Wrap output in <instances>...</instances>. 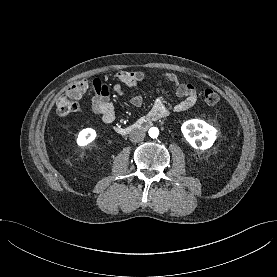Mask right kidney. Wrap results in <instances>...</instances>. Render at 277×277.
Returning a JSON list of instances; mask_svg holds the SVG:
<instances>
[{
	"instance_id": "right-kidney-1",
	"label": "right kidney",
	"mask_w": 277,
	"mask_h": 277,
	"mask_svg": "<svg viewBox=\"0 0 277 277\" xmlns=\"http://www.w3.org/2000/svg\"><path fill=\"white\" fill-rule=\"evenodd\" d=\"M96 138V131L92 128H86L79 132L77 137V144L79 146H86Z\"/></svg>"
}]
</instances>
